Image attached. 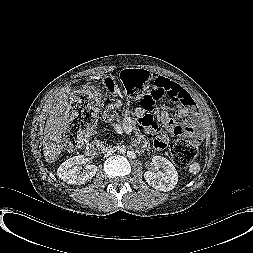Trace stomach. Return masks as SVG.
<instances>
[{"instance_id": "obj_1", "label": "stomach", "mask_w": 253, "mask_h": 253, "mask_svg": "<svg viewBox=\"0 0 253 253\" xmlns=\"http://www.w3.org/2000/svg\"><path fill=\"white\" fill-rule=\"evenodd\" d=\"M104 85L111 90L114 94H118L119 90L117 88V85L114 84L113 80L109 77H105Z\"/></svg>"}]
</instances>
